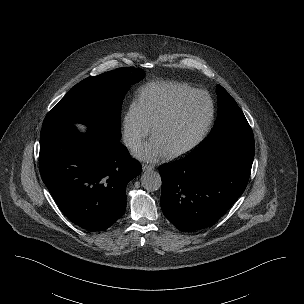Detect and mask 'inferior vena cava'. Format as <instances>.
<instances>
[{
    "instance_id": "1",
    "label": "inferior vena cava",
    "mask_w": 304,
    "mask_h": 304,
    "mask_svg": "<svg viewBox=\"0 0 304 304\" xmlns=\"http://www.w3.org/2000/svg\"><path fill=\"white\" fill-rule=\"evenodd\" d=\"M124 143L127 147H132L135 145L136 141L133 138H125Z\"/></svg>"
}]
</instances>
